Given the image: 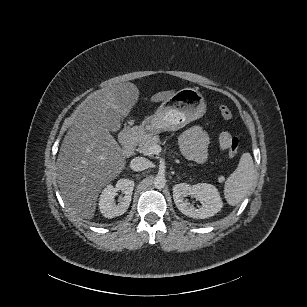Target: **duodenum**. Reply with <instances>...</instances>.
<instances>
[{"label": "duodenum", "mask_w": 307, "mask_h": 307, "mask_svg": "<svg viewBox=\"0 0 307 307\" xmlns=\"http://www.w3.org/2000/svg\"><path fill=\"white\" fill-rule=\"evenodd\" d=\"M143 136V131L140 128H134L128 131L123 138V155L130 157Z\"/></svg>", "instance_id": "1"}]
</instances>
